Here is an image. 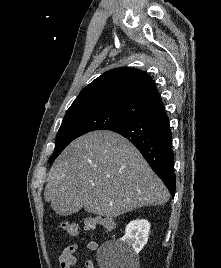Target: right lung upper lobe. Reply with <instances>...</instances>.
Masks as SVG:
<instances>
[{
	"label": "right lung upper lobe",
	"instance_id": "1",
	"mask_svg": "<svg viewBox=\"0 0 221 268\" xmlns=\"http://www.w3.org/2000/svg\"><path fill=\"white\" fill-rule=\"evenodd\" d=\"M163 108L151 77L141 70L124 67L108 71L86 86L67 113L101 109L131 120Z\"/></svg>",
	"mask_w": 221,
	"mask_h": 268
}]
</instances>
